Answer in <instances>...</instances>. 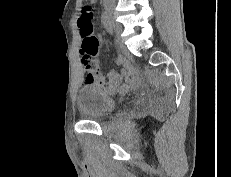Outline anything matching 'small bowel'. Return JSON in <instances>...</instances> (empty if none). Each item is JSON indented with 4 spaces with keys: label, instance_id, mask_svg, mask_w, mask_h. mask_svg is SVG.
<instances>
[{
    "label": "small bowel",
    "instance_id": "obj_1",
    "mask_svg": "<svg viewBox=\"0 0 231 177\" xmlns=\"http://www.w3.org/2000/svg\"><path fill=\"white\" fill-rule=\"evenodd\" d=\"M83 66L86 72V82L103 88L108 93L124 94L131 89L137 88L141 84V79L137 71L128 65L120 72L110 70L106 75H101L96 71V63L94 61L89 67L84 64Z\"/></svg>",
    "mask_w": 231,
    "mask_h": 177
}]
</instances>
